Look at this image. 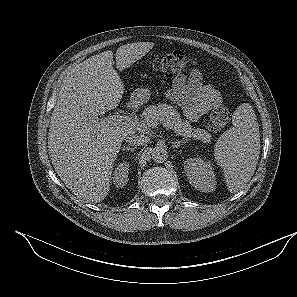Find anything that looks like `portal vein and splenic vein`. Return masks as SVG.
<instances>
[{
	"label": "portal vein and splenic vein",
	"instance_id": "portal-vein-and-splenic-vein-1",
	"mask_svg": "<svg viewBox=\"0 0 297 297\" xmlns=\"http://www.w3.org/2000/svg\"><path fill=\"white\" fill-rule=\"evenodd\" d=\"M99 124L101 125H126V126H130V127H136L138 129H146L147 125H145L144 123H140L138 122L136 119H133L130 116H124V115H112V116H108L104 119H100L98 120ZM148 126H150L148 124ZM165 128H168V126L165 124L164 125Z\"/></svg>",
	"mask_w": 297,
	"mask_h": 297
}]
</instances>
